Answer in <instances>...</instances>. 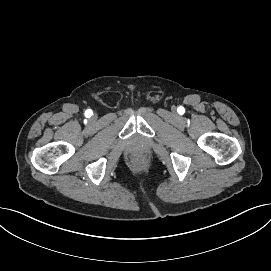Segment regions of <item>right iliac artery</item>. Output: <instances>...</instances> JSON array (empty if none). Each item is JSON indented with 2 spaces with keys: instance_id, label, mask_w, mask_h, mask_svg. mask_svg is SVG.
Here are the masks:
<instances>
[{
  "instance_id": "1",
  "label": "right iliac artery",
  "mask_w": 271,
  "mask_h": 271,
  "mask_svg": "<svg viewBox=\"0 0 271 271\" xmlns=\"http://www.w3.org/2000/svg\"><path fill=\"white\" fill-rule=\"evenodd\" d=\"M89 112H90V114H92V111H91V110H89Z\"/></svg>"
}]
</instances>
